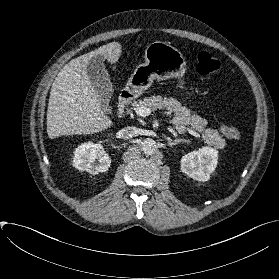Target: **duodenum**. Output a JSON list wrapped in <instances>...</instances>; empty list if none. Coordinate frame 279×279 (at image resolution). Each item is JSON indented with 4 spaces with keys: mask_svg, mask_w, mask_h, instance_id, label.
Returning a JSON list of instances; mask_svg holds the SVG:
<instances>
[{
    "mask_svg": "<svg viewBox=\"0 0 279 279\" xmlns=\"http://www.w3.org/2000/svg\"><path fill=\"white\" fill-rule=\"evenodd\" d=\"M132 99H133L132 94H130L129 92L127 91L121 92L118 99L119 112H122Z\"/></svg>",
    "mask_w": 279,
    "mask_h": 279,
    "instance_id": "duodenum-1",
    "label": "duodenum"
}]
</instances>
